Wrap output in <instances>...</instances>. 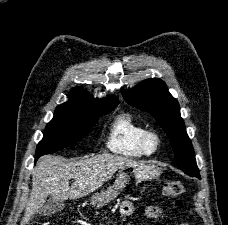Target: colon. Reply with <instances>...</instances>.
<instances>
[{
  "label": "colon",
  "instance_id": "1",
  "mask_svg": "<svg viewBox=\"0 0 228 225\" xmlns=\"http://www.w3.org/2000/svg\"><path fill=\"white\" fill-rule=\"evenodd\" d=\"M185 193V187L180 180H169L164 185V194L169 198H179ZM179 205V203H177Z\"/></svg>",
  "mask_w": 228,
  "mask_h": 225
}]
</instances>
